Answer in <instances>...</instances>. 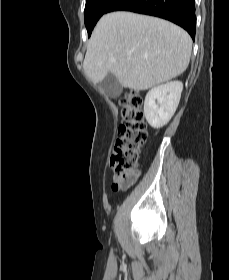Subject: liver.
<instances>
[{
    "mask_svg": "<svg viewBox=\"0 0 229 280\" xmlns=\"http://www.w3.org/2000/svg\"><path fill=\"white\" fill-rule=\"evenodd\" d=\"M191 52L189 34L177 25L118 11L98 21L88 41L83 69L94 84L112 73L125 88L147 90L181 75Z\"/></svg>",
    "mask_w": 229,
    "mask_h": 280,
    "instance_id": "obj_1",
    "label": "liver"
}]
</instances>
